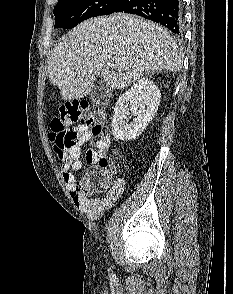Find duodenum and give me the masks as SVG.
Returning <instances> with one entry per match:
<instances>
[{"mask_svg":"<svg viewBox=\"0 0 233 294\" xmlns=\"http://www.w3.org/2000/svg\"><path fill=\"white\" fill-rule=\"evenodd\" d=\"M99 114H100L101 116H103V115H104L102 111H99Z\"/></svg>","mask_w":233,"mask_h":294,"instance_id":"obj_1","label":"duodenum"}]
</instances>
